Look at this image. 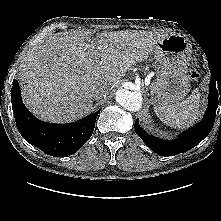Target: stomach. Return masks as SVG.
<instances>
[{
	"instance_id": "stomach-1",
	"label": "stomach",
	"mask_w": 221,
	"mask_h": 221,
	"mask_svg": "<svg viewBox=\"0 0 221 221\" xmlns=\"http://www.w3.org/2000/svg\"><path fill=\"white\" fill-rule=\"evenodd\" d=\"M191 52L188 39L176 34L162 38L155 46L153 54L159 70L150 86V101L155 107L178 103L190 91L187 72Z\"/></svg>"
}]
</instances>
